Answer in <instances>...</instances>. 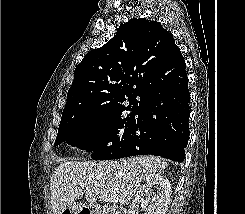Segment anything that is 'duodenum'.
Returning a JSON list of instances; mask_svg holds the SVG:
<instances>
[{
	"mask_svg": "<svg viewBox=\"0 0 245 214\" xmlns=\"http://www.w3.org/2000/svg\"><path fill=\"white\" fill-rule=\"evenodd\" d=\"M90 214H125L122 211L112 210L103 206H92L90 208Z\"/></svg>",
	"mask_w": 245,
	"mask_h": 214,
	"instance_id": "duodenum-1",
	"label": "duodenum"
}]
</instances>
